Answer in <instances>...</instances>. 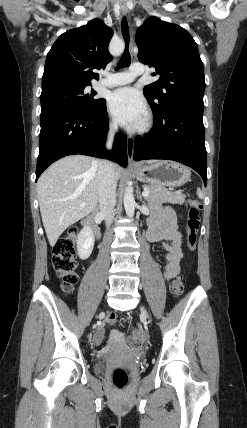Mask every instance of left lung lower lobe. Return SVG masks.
<instances>
[{"instance_id": "left-lung-lower-lobe-1", "label": "left lung lower lobe", "mask_w": 247, "mask_h": 428, "mask_svg": "<svg viewBox=\"0 0 247 428\" xmlns=\"http://www.w3.org/2000/svg\"><path fill=\"white\" fill-rule=\"evenodd\" d=\"M203 108L178 103L161 115L154 114L152 131L137 137L134 160L167 159L194 169L207 184Z\"/></svg>"}]
</instances>
